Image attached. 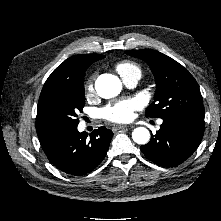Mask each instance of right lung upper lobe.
I'll return each mask as SVG.
<instances>
[{"mask_svg":"<svg viewBox=\"0 0 221 221\" xmlns=\"http://www.w3.org/2000/svg\"><path fill=\"white\" fill-rule=\"evenodd\" d=\"M104 55L81 54L75 55L60 64L48 77L45 83L53 81L77 82L84 80L85 71L95 61L103 59Z\"/></svg>","mask_w":221,"mask_h":221,"instance_id":"1","label":"right lung upper lobe"}]
</instances>
